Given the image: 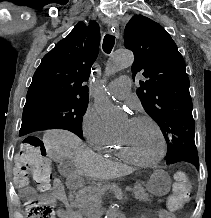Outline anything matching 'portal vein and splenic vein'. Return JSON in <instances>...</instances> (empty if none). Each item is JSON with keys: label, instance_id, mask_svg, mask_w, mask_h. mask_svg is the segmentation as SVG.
Instances as JSON below:
<instances>
[{"label": "portal vein and splenic vein", "instance_id": "18ae733b", "mask_svg": "<svg viewBox=\"0 0 211 218\" xmlns=\"http://www.w3.org/2000/svg\"><path fill=\"white\" fill-rule=\"evenodd\" d=\"M126 190H127V191H131L132 189H131L130 186H126Z\"/></svg>", "mask_w": 211, "mask_h": 218}]
</instances>
